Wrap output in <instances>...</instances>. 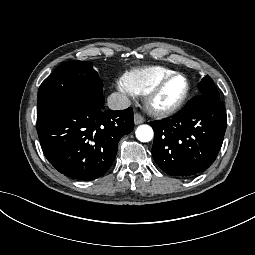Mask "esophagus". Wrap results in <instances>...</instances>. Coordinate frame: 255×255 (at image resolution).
<instances>
[{"mask_svg": "<svg viewBox=\"0 0 255 255\" xmlns=\"http://www.w3.org/2000/svg\"><path fill=\"white\" fill-rule=\"evenodd\" d=\"M134 122L136 125L143 123L144 122L143 116L139 113H135L134 114Z\"/></svg>", "mask_w": 255, "mask_h": 255, "instance_id": "1", "label": "esophagus"}]
</instances>
